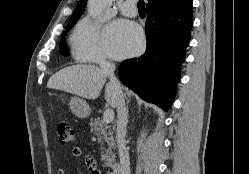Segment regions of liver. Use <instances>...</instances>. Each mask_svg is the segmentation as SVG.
<instances>
[{
  "label": "liver",
  "instance_id": "obj_1",
  "mask_svg": "<svg viewBox=\"0 0 249 174\" xmlns=\"http://www.w3.org/2000/svg\"><path fill=\"white\" fill-rule=\"evenodd\" d=\"M107 75L95 65L77 64L61 69L50 77L47 87L62 90L86 99H96L106 83ZM105 100L117 106V92L111 82L105 87Z\"/></svg>",
  "mask_w": 249,
  "mask_h": 174
}]
</instances>
